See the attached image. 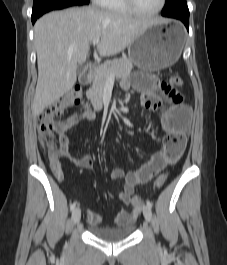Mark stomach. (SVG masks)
<instances>
[{
    "label": "stomach",
    "instance_id": "obj_1",
    "mask_svg": "<svg viewBox=\"0 0 227 265\" xmlns=\"http://www.w3.org/2000/svg\"><path fill=\"white\" fill-rule=\"evenodd\" d=\"M183 34V28L177 22L169 27L151 25L130 43L128 57L142 70H162L179 59L183 49Z\"/></svg>",
    "mask_w": 227,
    "mask_h": 265
}]
</instances>
